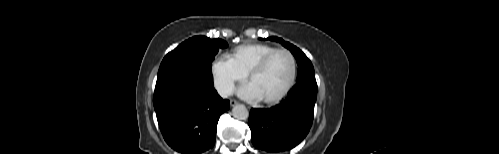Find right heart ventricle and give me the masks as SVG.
I'll return each mask as SVG.
<instances>
[{
  "mask_svg": "<svg viewBox=\"0 0 499 154\" xmlns=\"http://www.w3.org/2000/svg\"><path fill=\"white\" fill-rule=\"evenodd\" d=\"M277 49L274 46L262 43L243 44L234 48L228 57L246 74L265 55Z\"/></svg>",
  "mask_w": 499,
  "mask_h": 154,
  "instance_id": "1",
  "label": "right heart ventricle"
}]
</instances>
